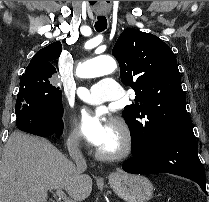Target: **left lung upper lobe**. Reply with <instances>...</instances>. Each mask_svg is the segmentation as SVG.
I'll return each mask as SVG.
<instances>
[{
	"instance_id": "obj_1",
	"label": "left lung upper lobe",
	"mask_w": 209,
	"mask_h": 202,
	"mask_svg": "<svg viewBox=\"0 0 209 202\" xmlns=\"http://www.w3.org/2000/svg\"><path fill=\"white\" fill-rule=\"evenodd\" d=\"M112 54L119 62L122 83L136 95L135 103L122 112L132 143L157 145L192 129L177 60L166 43L153 34L127 28Z\"/></svg>"
}]
</instances>
